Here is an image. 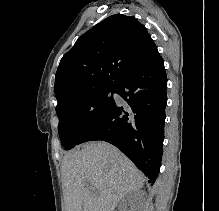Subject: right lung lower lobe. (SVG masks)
I'll use <instances>...</instances> for the list:
<instances>
[{
  "label": "right lung lower lobe",
  "mask_w": 219,
  "mask_h": 211,
  "mask_svg": "<svg viewBox=\"0 0 219 211\" xmlns=\"http://www.w3.org/2000/svg\"><path fill=\"white\" fill-rule=\"evenodd\" d=\"M167 78L159 55L127 74L115 87L109 111L80 138L109 142L120 149L151 183L158 176L163 154Z\"/></svg>",
  "instance_id": "right-lung-lower-lobe-1"
}]
</instances>
